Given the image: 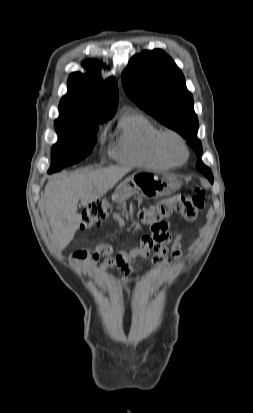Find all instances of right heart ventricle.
<instances>
[{
    "label": "right heart ventricle",
    "instance_id": "e07e8e85",
    "mask_svg": "<svg viewBox=\"0 0 253 413\" xmlns=\"http://www.w3.org/2000/svg\"><path fill=\"white\" fill-rule=\"evenodd\" d=\"M119 130L118 145L112 151V156L119 162L160 169L174 166L159 149L161 130L143 114H125L120 121Z\"/></svg>",
    "mask_w": 253,
    "mask_h": 413
}]
</instances>
